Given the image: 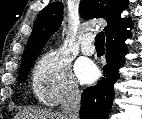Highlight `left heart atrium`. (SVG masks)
Masks as SVG:
<instances>
[{"instance_id":"1","label":"left heart atrium","mask_w":142,"mask_h":119,"mask_svg":"<svg viewBox=\"0 0 142 119\" xmlns=\"http://www.w3.org/2000/svg\"><path fill=\"white\" fill-rule=\"evenodd\" d=\"M77 75L82 83L89 84L97 79L99 70L91 62H81L77 66Z\"/></svg>"}]
</instances>
